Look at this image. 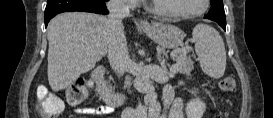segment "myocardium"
<instances>
[{"label": "myocardium", "mask_w": 273, "mask_h": 118, "mask_svg": "<svg viewBox=\"0 0 273 118\" xmlns=\"http://www.w3.org/2000/svg\"><path fill=\"white\" fill-rule=\"evenodd\" d=\"M156 1L157 0L148 1L147 7L149 11L156 16L163 17V18H172V19H187V18H193L199 15H202L203 13L206 12L209 6V0H202L203 5L199 10L190 12V13H176V12H170V11H164V10L158 9Z\"/></svg>", "instance_id": "obj_1"}]
</instances>
